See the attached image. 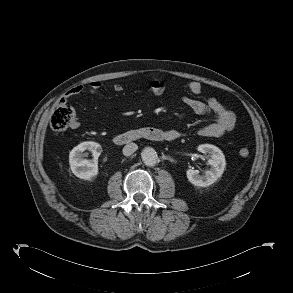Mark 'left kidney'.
<instances>
[{
	"label": "left kidney",
	"mask_w": 293,
	"mask_h": 293,
	"mask_svg": "<svg viewBox=\"0 0 293 293\" xmlns=\"http://www.w3.org/2000/svg\"><path fill=\"white\" fill-rule=\"evenodd\" d=\"M198 151L208 154L210 157L208 163L211 165V168L204 175H200L198 170L193 169H188L186 174L189 182L193 185L207 187L222 176L226 166L225 156L218 147L211 144L199 145Z\"/></svg>",
	"instance_id": "5707ae66"
}]
</instances>
